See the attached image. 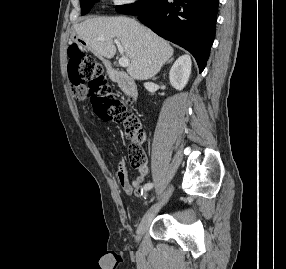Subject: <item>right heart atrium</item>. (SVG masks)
<instances>
[{
  "label": "right heart atrium",
  "instance_id": "obj_1",
  "mask_svg": "<svg viewBox=\"0 0 286 269\" xmlns=\"http://www.w3.org/2000/svg\"><path fill=\"white\" fill-rule=\"evenodd\" d=\"M136 1L137 0H111L112 4L118 7L133 4Z\"/></svg>",
  "mask_w": 286,
  "mask_h": 269
}]
</instances>
